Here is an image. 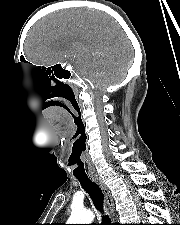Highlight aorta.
<instances>
[{"mask_svg": "<svg viewBox=\"0 0 180 225\" xmlns=\"http://www.w3.org/2000/svg\"><path fill=\"white\" fill-rule=\"evenodd\" d=\"M94 214L90 210L73 211L68 220V224H91Z\"/></svg>", "mask_w": 180, "mask_h": 225, "instance_id": "762f6f07", "label": "aorta"}]
</instances>
